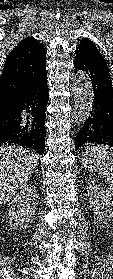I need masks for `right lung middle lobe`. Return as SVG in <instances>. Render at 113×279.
I'll use <instances>...</instances> for the list:
<instances>
[{
  "instance_id": "1",
  "label": "right lung middle lobe",
  "mask_w": 113,
  "mask_h": 279,
  "mask_svg": "<svg viewBox=\"0 0 113 279\" xmlns=\"http://www.w3.org/2000/svg\"><path fill=\"white\" fill-rule=\"evenodd\" d=\"M4 113H5V111H0V119L3 116Z\"/></svg>"
}]
</instances>
